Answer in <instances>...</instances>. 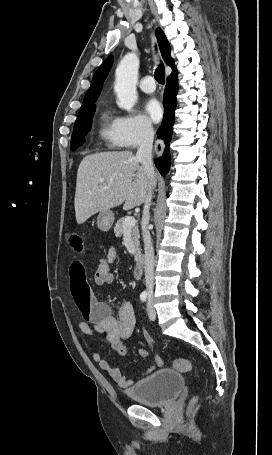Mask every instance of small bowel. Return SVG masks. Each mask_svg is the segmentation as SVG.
<instances>
[{
  "label": "small bowel",
  "mask_w": 272,
  "mask_h": 455,
  "mask_svg": "<svg viewBox=\"0 0 272 455\" xmlns=\"http://www.w3.org/2000/svg\"><path fill=\"white\" fill-rule=\"evenodd\" d=\"M71 243L75 249L80 248L81 241L78 236H73ZM106 257L110 264L115 263L117 260L116 250L110 248ZM70 290L81 315V319L78 321L79 330L88 336L104 334L111 346L124 355L127 352L126 340L132 335L135 327V315L132 305L128 302L121 303L115 314L108 304L98 301L89 286L85 268L79 261L73 262L70 266ZM145 338L148 347H150L151 338L147 333H145ZM148 352V348H142L139 353L142 357H145ZM93 360L109 374L119 387L126 389L134 384V380L126 378L120 369L107 361L100 352L93 354ZM162 365L161 357L156 355L152 366L144 375L160 368Z\"/></svg>",
  "instance_id": "obj_1"
}]
</instances>
